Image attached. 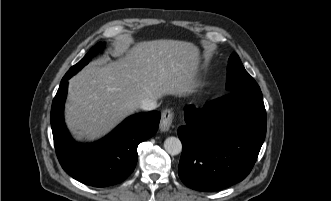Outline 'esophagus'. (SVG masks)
Instances as JSON below:
<instances>
[{
  "mask_svg": "<svg viewBox=\"0 0 331 201\" xmlns=\"http://www.w3.org/2000/svg\"><path fill=\"white\" fill-rule=\"evenodd\" d=\"M173 120V112L171 109H165L161 115L160 130L166 132L170 129Z\"/></svg>",
  "mask_w": 331,
  "mask_h": 201,
  "instance_id": "obj_1",
  "label": "esophagus"
}]
</instances>
